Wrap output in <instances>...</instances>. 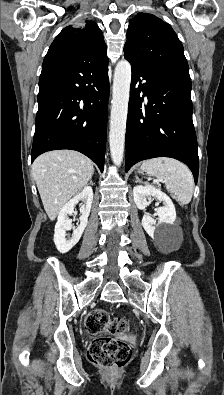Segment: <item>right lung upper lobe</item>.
I'll use <instances>...</instances> for the list:
<instances>
[{
	"label": "right lung upper lobe",
	"mask_w": 224,
	"mask_h": 395,
	"mask_svg": "<svg viewBox=\"0 0 224 395\" xmlns=\"http://www.w3.org/2000/svg\"><path fill=\"white\" fill-rule=\"evenodd\" d=\"M52 54L88 63L108 59L103 33L93 21H86L82 27L64 28L51 44L46 56Z\"/></svg>",
	"instance_id": "obj_1"
}]
</instances>
